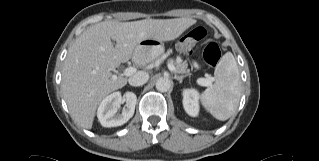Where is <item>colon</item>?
I'll return each instance as SVG.
<instances>
[{
	"label": "colon",
	"mask_w": 319,
	"mask_h": 161,
	"mask_svg": "<svg viewBox=\"0 0 319 161\" xmlns=\"http://www.w3.org/2000/svg\"><path fill=\"white\" fill-rule=\"evenodd\" d=\"M206 35V30L203 27L197 26L193 28L188 34L180 39L179 49L183 52H188L196 43L203 40ZM202 55L206 63L210 65L218 64L221 59V49L219 44L215 41H210L206 45Z\"/></svg>",
	"instance_id": "1"
}]
</instances>
